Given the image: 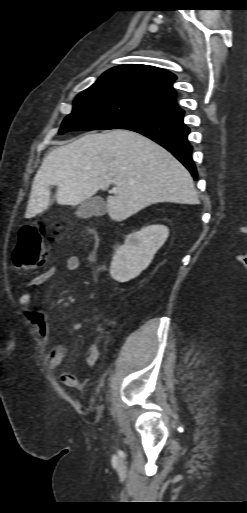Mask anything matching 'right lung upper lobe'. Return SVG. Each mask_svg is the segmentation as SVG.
Listing matches in <instances>:
<instances>
[{"label":"right lung upper lobe","instance_id":"cb5924a9","mask_svg":"<svg viewBox=\"0 0 247 513\" xmlns=\"http://www.w3.org/2000/svg\"><path fill=\"white\" fill-rule=\"evenodd\" d=\"M176 76L171 72L157 67L129 64L114 67L106 71L91 87L113 88L136 93L147 100L167 106L172 111L180 108L176 103V92L173 89V82Z\"/></svg>","mask_w":247,"mask_h":513}]
</instances>
